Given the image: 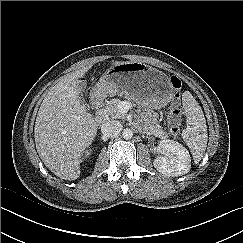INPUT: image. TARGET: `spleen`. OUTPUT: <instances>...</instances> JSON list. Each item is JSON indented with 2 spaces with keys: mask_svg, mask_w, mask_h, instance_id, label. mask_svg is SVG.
<instances>
[{
  "mask_svg": "<svg viewBox=\"0 0 243 243\" xmlns=\"http://www.w3.org/2000/svg\"><path fill=\"white\" fill-rule=\"evenodd\" d=\"M187 127L182 132L183 140L191 150L193 158L199 162L207 147L208 135L204 113L190 92L182 95Z\"/></svg>",
  "mask_w": 243,
  "mask_h": 243,
  "instance_id": "3e777b00",
  "label": "spleen"
}]
</instances>
